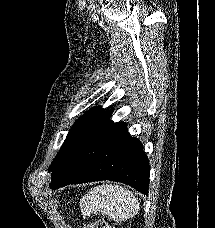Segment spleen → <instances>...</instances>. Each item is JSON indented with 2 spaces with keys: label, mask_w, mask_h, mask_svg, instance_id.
<instances>
[{
  "label": "spleen",
  "mask_w": 215,
  "mask_h": 228,
  "mask_svg": "<svg viewBox=\"0 0 215 228\" xmlns=\"http://www.w3.org/2000/svg\"><path fill=\"white\" fill-rule=\"evenodd\" d=\"M81 204L86 212H93L96 216H110L117 222L130 220L139 210V202L134 194L123 186L114 184H102L92 188L81 200Z\"/></svg>",
  "instance_id": "obj_1"
}]
</instances>
